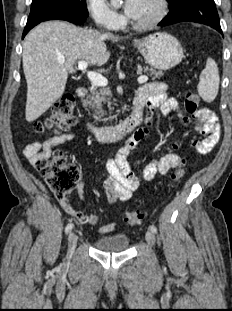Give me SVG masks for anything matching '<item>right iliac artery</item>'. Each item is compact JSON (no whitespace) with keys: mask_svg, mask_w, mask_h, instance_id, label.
<instances>
[{"mask_svg":"<svg viewBox=\"0 0 232 311\" xmlns=\"http://www.w3.org/2000/svg\"><path fill=\"white\" fill-rule=\"evenodd\" d=\"M72 228H73V224L71 223L68 224L65 228V233L68 234L72 230Z\"/></svg>","mask_w":232,"mask_h":311,"instance_id":"1","label":"right iliac artery"}]
</instances>
